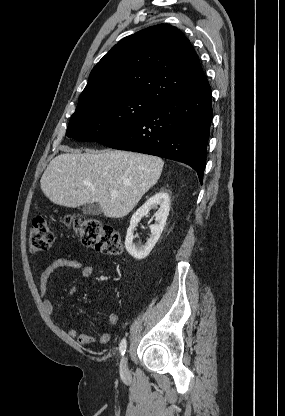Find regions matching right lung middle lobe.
Returning <instances> with one entry per match:
<instances>
[{"label": "right lung middle lobe", "instance_id": "1", "mask_svg": "<svg viewBox=\"0 0 285 416\" xmlns=\"http://www.w3.org/2000/svg\"><path fill=\"white\" fill-rule=\"evenodd\" d=\"M159 105L141 97H126L76 109L66 136L78 141H100L139 121Z\"/></svg>", "mask_w": 285, "mask_h": 416}]
</instances>
